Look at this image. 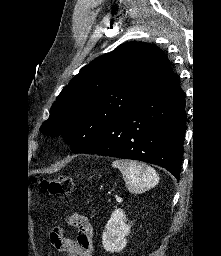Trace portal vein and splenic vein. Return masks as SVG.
Here are the masks:
<instances>
[{
	"mask_svg": "<svg viewBox=\"0 0 221 256\" xmlns=\"http://www.w3.org/2000/svg\"><path fill=\"white\" fill-rule=\"evenodd\" d=\"M116 201H117V202H121V201H122L121 197L116 196Z\"/></svg>",
	"mask_w": 221,
	"mask_h": 256,
	"instance_id": "18ae733b",
	"label": "portal vein and splenic vein"
}]
</instances>
